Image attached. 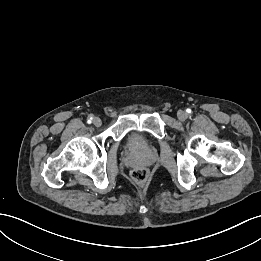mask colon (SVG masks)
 Segmentation results:
<instances>
[{"label":"colon","mask_w":261,"mask_h":261,"mask_svg":"<svg viewBox=\"0 0 261 261\" xmlns=\"http://www.w3.org/2000/svg\"><path fill=\"white\" fill-rule=\"evenodd\" d=\"M147 176V171L144 168H136L132 172V179L139 184L144 183Z\"/></svg>","instance_id":"5ec220e1"}]
</instances>
